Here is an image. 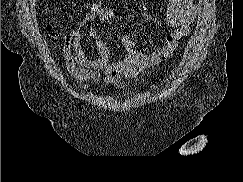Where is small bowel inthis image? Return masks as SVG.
Masks as SVG:
<instances>
[{
  "mask_svg": "<svg viewBox=\"0 0 243 182\" xmlns=\"http://www.w3.org/2000/svg\"><path fill=\"white\" fill-rule=\"evenodd\" d=\"M115 12L92 2L83 19L66 37L65 61L68 72L77 80L88 83L113 84L118 88L126 87L127 78H137L147 69L158 67L170 58L179 42L190 32V25L196 17V6L193 0H170L165 11V23L171 29L162 45L152 53L145 54L136 46L129 35H123V51L119 59L113 60L108 47L102 42L94 28L89 35L93 38L98 56L89 58L83 47V28L95 20L105 22L114 19Z\"/></svg>",
  "mask_w": 243,
  "mask_h": 182,
  "instance_id": "1",
  "label": "small bowel"
}]
</instances>
